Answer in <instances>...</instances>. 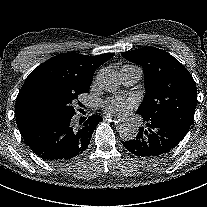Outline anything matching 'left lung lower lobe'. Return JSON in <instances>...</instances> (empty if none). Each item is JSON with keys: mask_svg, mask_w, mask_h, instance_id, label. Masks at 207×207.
Returning <instances> with one entry per match:
<instances>
[{"mask_svg": "<svg viewBox=\"0 0 207 207\" xmlns=\"http://www.w3.org/2000/svg\"><path fill=\"white\" fill-rule=\"evenodd\" d=\"M145 122L146 125L139 129L135 139L122 142L131 153L140 157L154 158L165 155L176 147L187 133L169 121Z\"/></svg>", "mask_w": 207, "mask_h": 207, "instance_id": "left-lung-lower-lobe-1", "label": "left lung lower lobe"}]
</instances>
